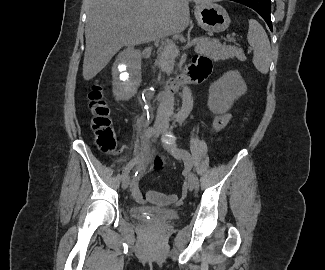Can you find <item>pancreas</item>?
<instances>
[{
  "mask_svg": "<svg viewBox=\"0 0 325 270\" xmlns=\"http://www.w3.org/2000/svg\"><path fill=\"white\" fill-rule=\"evenodd\" d=\"M195 51L210 56L215 61L229 58H237L240 61L246 60L241 48L222 45L217 39H209L205 37L198 39ZM177 56L178 49L168 43L159 51L155 63L163 72L170 73L173 70L174 60Z\"/></svg>",
  "mask_w": 325,
  "mask_h": 270,
  "instance_id": "cf45deb5",
  "label": "pancreas"
}]
</instances>
